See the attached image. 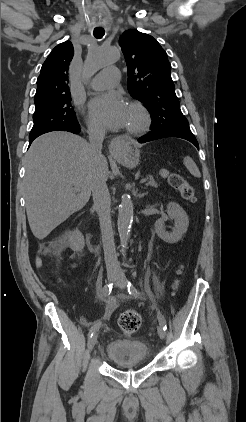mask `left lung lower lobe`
<instances>
[{"label":"left lung lower lobe","instance_id":"obj_1","mask_svg":"<svg viewBox=\"0 0 246 422\" xmlns=\"http://www.w3.org/2000/svg\"><path fill=\"white\" fill-rule=\"evenodd\" d=\"M166 137H178V138L188 140L191 143H193L197 147V149H199L198 142L195 136L193 135V133L191 132L190 128H175V129H162V130H157V131H150L146 135L140 137L138 139V142L145 143V142H149V141H153V140H157L161 138H166Z\"/></svg>","mask_w":246,"mask_h":422}]
</instances>
